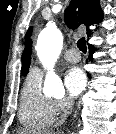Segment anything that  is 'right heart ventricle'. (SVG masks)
Returning a JSON list of instances; mask_svg holds the SVG:
<instances>
[{"instance_id": "1", "label": "right heart ventricle", "mask_w": 116, "mask_h": 134, "mask_svg": "<svg viewBox=\"0 0 116 134\" xmlns=\"http://www.w3.org/2000/svg\"><path fill=\"white\" fill-rule=\"evenodd\" d=\"M41 82L42 73L33 68L21 91L19 118L27 128H44L55 118L53 100L43 93Z\"/></svg>"}]
</instances>
